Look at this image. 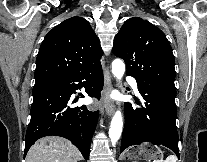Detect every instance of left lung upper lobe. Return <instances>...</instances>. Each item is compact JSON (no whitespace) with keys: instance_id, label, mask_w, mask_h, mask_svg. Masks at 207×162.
I'll list each match as a JSON object with an SVG mask.
<instances>
[{"instance_id":"1","label":"left lung upper lobe","mask_w":207,"mask_h":162,"mask_svg":"<svg viewBox=\"0 0 207 162\" xmlns=\"http://www.w3.org/2000/svg\"><path fill=\"white\" fill-rule=\"evenodd\" d=\"M113 53L124 59L127 74L138 83L175 89L172 48L165 34L150 22L128 19L115 36Z\"/></svg>"}]
</instances>
